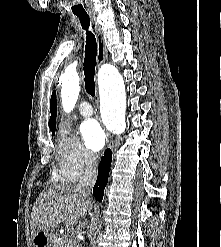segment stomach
Segmentation results:
<instances>
[{
    "label": "stomach",
    "mask_w": 221,
    "mask_h": 247,
    "mask_svg": "<svg viewBox=\"0 0 221 247\" xmlns=\"http://www.w3.org/2000/svg\"><path fill=\"white\" fill-rule=\"evenodd\" d=\"M54 237L50 231H40L33 237L34 247H51Z\"/></svg>",
    "instance_id": "1"
}]
</instances>
